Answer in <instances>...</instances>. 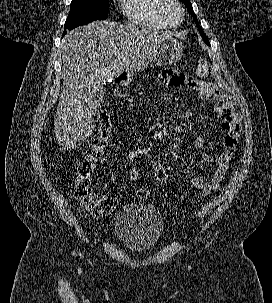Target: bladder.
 <instances>
[{
	"label": "bladder",
	"instance_id": "obj_1",
	"mask_svg": "<svg viewBox=\"0 0 272 303\" xmlns=\"http://www.w3.org/2000/svg\"><path fill=\"white\" fill-rule=\"evenodd\" d=\"M164 222L158 210L150 205L131 203L116 214L114 230L118 240L132 252H144L160 240Z\"/></svg>",
	"mask_w": 272,
	"mask_h": 303
}]
</instances>
